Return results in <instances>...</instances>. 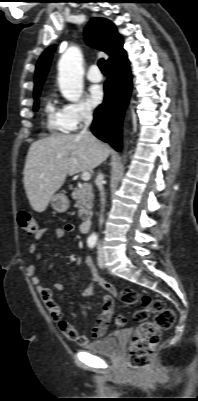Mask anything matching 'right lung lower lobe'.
<instances>
[{
    "label": "right lung lower lobe",
    "instance_id": "1",
    "mask_svg": "<svg viewBox=\"0 0 198 401\" xmlns=\"http://www.w3.org/2000/svg\"><path fill=\"white\" fill-rule=\"evenodd\" d=\"M103 103L95 110L91 131L120 151L123 114L131 92V74L125 51L108 63Z\"/></svg>",
    "mask_w": 198,
    "mask_h": 401
}]
</instances>
